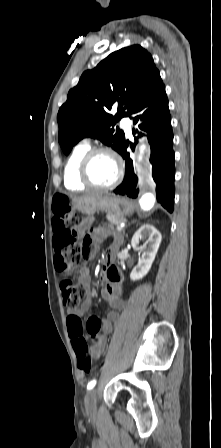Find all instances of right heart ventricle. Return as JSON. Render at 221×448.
Returning <instances> with one entry per match:
<instances>
[{"label": "right heart ventricle", "mask_w": 221, "mask_h": 448, "mask_svg": "<svg viewBox=\"0 0 221 448\" xmlns=\"http://www.w3.org/2000/svg\"><path fill=\"white\" fill-rule=\"evenodd\" d=\"M90 149L87 143L77 145L69 155L64 167V185L70 190H82L87 187L78 177V165L82 156Z\"/></svg>", "instance_id": "right-heart-ventricle-1"}]
</instances>
